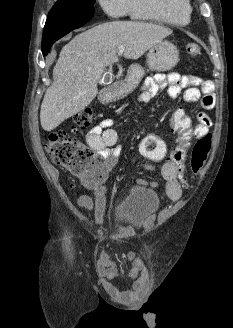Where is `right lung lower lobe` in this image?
I'll list each match as a JSON object with an SVG mask.
<instances>
[{
    "mask_svg": "<svg viewBox=\"0 0 233 328\" xmlns=\"http://www.w3.org/2000/svg\"><path fill=\"white\" fill-rule=\"evenodd\" d=\"M91 16H49L42 40V52L46 56L52 44L68 34L70 31L81 27Z\"/></svg>",
    "mask_w": 233,
    "mask_h": 328,
    "instance_id": "right-lung-lower-lobe-1",
    "label": "right lung lower lobe"
}]
</instances>
